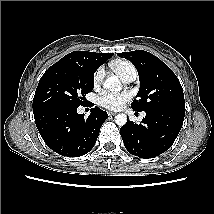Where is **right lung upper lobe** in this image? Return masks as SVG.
I'll return each instance as SVG.
<instances>
[{"mask_svg": "<svg viewBox=\"0 0 214 214\" xmlns=\"http://www.w3.org/2000/svg\"><path fill=\"white\" fill-rule=\"evenodd\" d=\"M113 55V53L74 51L64 56L56 64L78 65L95 72L103 63H105Z\"/></svg>", "mask_w": 214, "mask_h": 214, "instance_id": "right-lung-upper-lobe-1", "label": "right lung upper lobe"}]
</instances>
